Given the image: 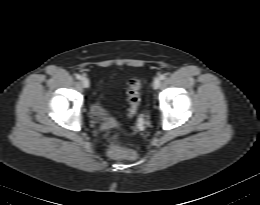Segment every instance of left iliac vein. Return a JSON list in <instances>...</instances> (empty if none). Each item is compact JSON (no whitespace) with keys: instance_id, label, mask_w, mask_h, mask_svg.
Here are the masks:
<instances>
[{"instance_id":"4c4485c4","label":"left iliac vein","mask_w":260,"mask_h":205,"mask_svg":"<svg viewBox=\"0 0 260 205\" xmlns=\"http://www.w3.org/2000/svg\"><path fill=\"white\" fill-rule=\"evenodd\" d=\"M161 85V80L159 78H156L154 81H153V88L154 89H158Z\"/></svg>"}]
</instances>
